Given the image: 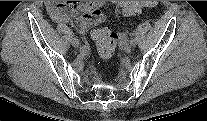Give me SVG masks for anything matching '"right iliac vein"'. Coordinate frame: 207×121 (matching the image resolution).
Returning <instances> with one entry per match:
<instances>
[{
  "label": "right iliac vein",
  "mask_w": 207,
  "mask_h": 121,
  "mask_svg": "<svg viewBox=\"0 0 207 121\" xmlns=\"http://www.w3.org/2000/svg\"><path fill=\"white\" fill-rule=\"evenodd\" d=\"M71 44L73 47L77 48L79 46V41L76 38H73Z\"/></svg>",
  "instance_id": "1"
}]
</instances>
